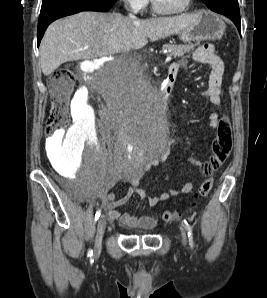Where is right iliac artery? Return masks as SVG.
Instances as JSON below:
<instances>
[{
	"instance_id": "1",
	"label": "right iliac artery",
	"mask_w": 267,
	"mask_h": 298,
	"mask_svg": "<svg viewBox=\"0 0 267 298\" xmlns=\"http://www.w3.org/2000/svg\"><path fill=\"white\" fill-rule=\"evenodd\" d=\"M100 215H101V209H98L97 212H96V214H95V220H97V219L100 217ZM87 256H88L90 259H92V257H93V250H92V249H89V250H88ZM92 261H93V260H92Z\"/></svg>"
}]
</instances>
